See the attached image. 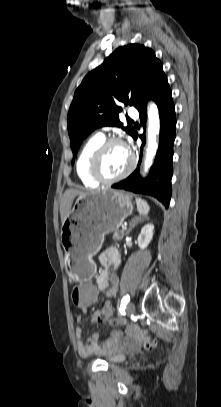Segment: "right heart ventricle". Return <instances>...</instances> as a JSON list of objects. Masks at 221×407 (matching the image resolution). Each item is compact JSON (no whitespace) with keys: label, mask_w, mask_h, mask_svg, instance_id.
Wrapping results in <instances>:
<instances>
[{"label":"right heart ventricle","mask_w":221,"mask_h":407,"mask_svg":"<svg viewBox=\"0 0 221 407\" xmlns=\"http://www.w3.org/2000/svg\"><path fill=\"white\" fill-rule=\"evenodd\" d=\"M104 141L102 134H96L90 137L82 146L77 160L76 173L80 182L86 187H97L99 185L89 174V160L95 149Z\"/></svg>","instance_id":"right-heart-ventricle-1"}]
</instances>
